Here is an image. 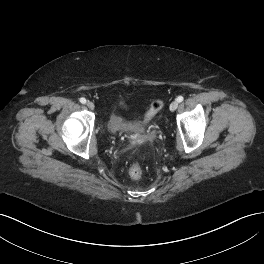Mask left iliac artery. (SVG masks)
I'll list each match as a JSON object with an SVG mask.
<instances>
[{
	"instance_id": "left-iliac-artery-1",
	"label": "left iliac artery",
	"mask_w": 264,
	"mask_h": 264,
	"mask_svg": "<svg viewBox=\"0 0 264 264\" xmlns=\"http://www.w3.org/2000/svg\"><path fill=\"white\" fill-rule=\"evenodd\" d=\"M183 100H184L183 96H178V97H177V101H178V102H182Z\"/></svg>"
}]
</instances>
